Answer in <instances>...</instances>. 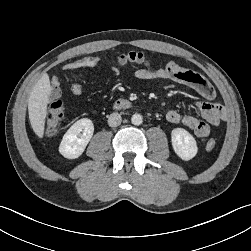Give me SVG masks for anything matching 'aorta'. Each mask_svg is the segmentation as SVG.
Listing matches in <instances>:
<instances>
[{"instance_id": "obj_1", "label": "aorta", "mask_w": 251, "mask_h": 251, "mask_svg": "<svg viewBox=\"0 0 251 251\" xmlns=\"http://www.w3.org/2000/svg\"><path fill=\"white\" fill-rule=\"evenodd\" d=\"M131 122H132V124H134V125H141L142 124V122H143V117H142V115H140V114H133V116L131 117Z\"/></svg>"}]
</instances>
